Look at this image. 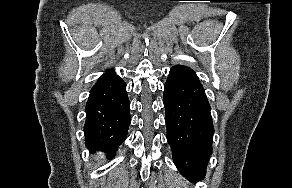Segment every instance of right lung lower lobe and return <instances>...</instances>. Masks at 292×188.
I'll return each instance as SVG.
<instances>
[{
	"label": "right lung lower lobe",
	"instance_id": "right-lung-lower-lobe-1",
	"mask_svg": "<svg viewBox=\"0 0 292 188\" xmlns=\"http://www.w3.org/2000/svg\"><path fill=\"white\" fill-rule=\"evenodd\" d=\"M85 110L86 146L113 156L126 139L131 123L126 85L113 69H108L92 87Z\"/></svg>",
	"mask_w": 292,
	"mask_h": 188
}]
</instances>
